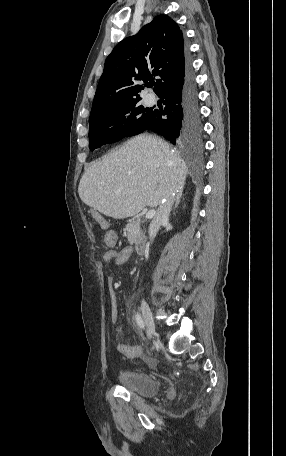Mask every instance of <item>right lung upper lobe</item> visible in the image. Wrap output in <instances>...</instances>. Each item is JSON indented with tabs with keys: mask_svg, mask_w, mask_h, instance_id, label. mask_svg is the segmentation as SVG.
Wrapping results in <instances>:
<instances>
[{
	"mask_svg": "<svg viewBox=\"0 0 286 456\" xmlns=\"http://www.w3.org/2000/svg\"><path fill=\"white\" fill-rule=\"evenodd\" d=\"M179 26L158 15L134 36L122 40L107 57L94 97L89 122L118 106L138 103L144 83L157 77L158 95L181 79L189 66Z\"/></svg>",
	"mask_w": 286,
	"mask_h": 456,
	"instance_id": "right-lung-upper-lobe-1",
	"label": "right lung upper lobe"
}]
</instances>
